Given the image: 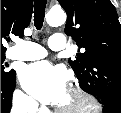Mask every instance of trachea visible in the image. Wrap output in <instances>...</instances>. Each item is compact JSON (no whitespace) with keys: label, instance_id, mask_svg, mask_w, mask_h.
<instances>
[{"label":"trachea","instance_id":"3493384b","mask_svg":"<svg viewBox=\"0 0 121 113\" xmlns=\"http://www.w3.org/2000/svg\"><path fill=\"white\" fill-rule=\"evenodd\" d=\"M46 0H35L34 4V25L39 30L43 26L45 17Z\"/></svg>","mask_w":121,"mask_h":113}]
</instances>
